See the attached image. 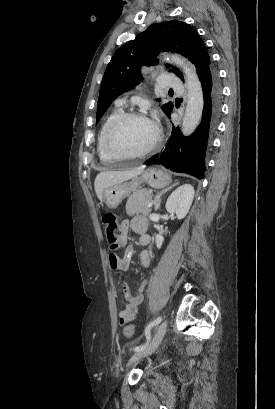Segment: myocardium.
Wrapping results in <instances>:
<instances>
[{"label": "myocardium", "instance_id": "f54148a6", "mask_svg": "<svg viewBox=\"0 0 275 409\" xmlns=\"http://www.w3.org/2000/svg\"><path fill=\"white\" fill-rule=\"evenodd\" d=\"M130 120H143V121L148 122L149 124L152 125L154 129V135L152 139L149 141V143L142 149L131 151V152H126V153H121V154H115L112 152V149H111L114 135L122 124ZM160 138H161L160 129L144 114L137 113V112H127V113H123L120 116H118L111 124L107 132L106 138H105L104 150H105L107 157H140V156H144L150 153L156 147V145L160 141Z\"/></svg>", "mask_w": 275, "mask_h": 409}]
</instances>
